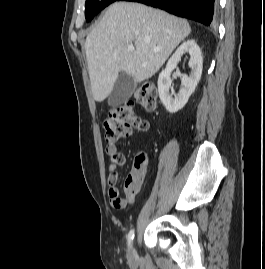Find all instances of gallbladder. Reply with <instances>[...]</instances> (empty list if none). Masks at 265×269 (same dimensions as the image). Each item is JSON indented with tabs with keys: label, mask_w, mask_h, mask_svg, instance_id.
Segmentation results:
<instances>
[{
	"label": "gallbladder",
	"mask_w": 265,
	"mask_h": 269,
	"mask_svg": "<svg viewBox=\"0 0 265 269\" xmlns=\"http://www.w3.org/2000/svg\"><path fill=\"white\" fill-rule=\"evenodd\" d=\"M136 89V82L132 76L121 73L108 97V105L117 107L126 102Z\"/></svg>",
	"instance_id": "gallbladder-1"
}]
</instances>
